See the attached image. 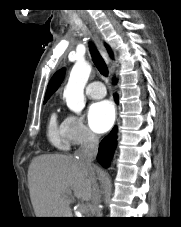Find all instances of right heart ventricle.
<instances>
[{
  "label": "right heart ventricle",
  "mask_w": 181,
  "mask_h": 227,
  "mask_svg": "<svg viewBox=\"0 0 181 227\" xmlns=\"http://www.w3.org/2000/svg\"><path fill=\"white\" fill-rule=\"evenodd\" d=\"M47 136L50 143L59 150L66 151L70 147L64 133V121H60L56 111H53L48 119Z\"/></svg>",
  "instance_id": "1"
}]
</instances>
